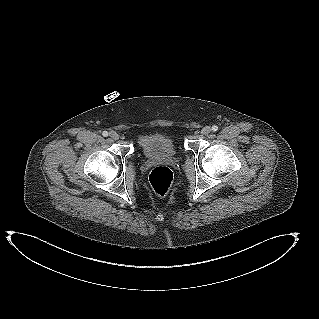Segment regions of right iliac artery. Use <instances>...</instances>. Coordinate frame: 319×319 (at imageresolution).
Listing matches in <instances>:
<instances>
[{"mask_svg": "<svg viewBox=\"0 0 319 319\" xmlns=\"http://www.w3.org/2000/svg\"><path fill=\"white\" fill-rule=\"evenodd\" d=\"M102 135H103L104 137H107V136H108V132H107V131H103Z\"/></svg>", "mask_w": 319, "mask_h": 319, "instance_id": "obj_1", "label": "right iliac artery"}]
</instances>
